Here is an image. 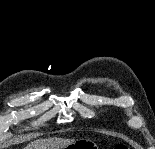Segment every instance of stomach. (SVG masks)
<instances>
[{
  "label": "stomach",
  "instance_id": "0dacf381",
  "mask_svg": "<svg viewBox=\"0 0 155 149\" xmlns=\"http://www.w3.org/2000/svg\"><path fill=\"white\" fill-rule=\"evenodd\" d=\"M93 148H97L94 142L88 139H80L66 146H63L60 149H93Z\"/></svg>",
  "mask_w": 155,
  "mask_h": 149
}]
</instances>
